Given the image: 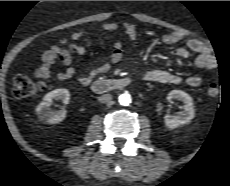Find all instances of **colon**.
Returning <instances> with one entry per match:
<instances>
[{
	"instance_id": "1",
	"label": "colon",
	"mask_w": 230,
	"mask_h": 186,
	"mask_svg": "<svg viewBox=\"0 0 230 186\" xmlns=\"http://www.w3.org/2000/svg\"><path fill=\"white\" fill-rule=\"evenodd\" d=\"M64 50L66 52L74 49V45L67 40L63 41ZM43 85L36 82L26 75H18L13 82V95L17 99L30 98L38 94L42 90ZM220 89L217 83H209L206 87V93L210 97L218 95Z\"/></svg>"
}]
</instances>
